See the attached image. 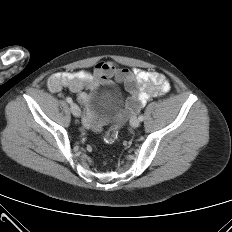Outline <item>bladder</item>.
<instances>
[{
    "mask_svg": "<svg viewBox=\"0 0 232 232\" xmlns=\"http://www.w3.org/2000/svg\"><path fill=\"white\" fill-rule=\"evenodd\" d=\"M97 106H107L111 110H117L122 104V95L118 92L103 89L95 97Z\"/></svg>",
    "mask_w": 232,
    "mask_h": 232,
    "instance_id": "obj_1",
    "label": "bladder"
}]
</instances>
